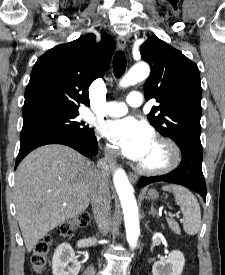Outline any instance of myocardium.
<instances>
[{"label": "myocardium", "instance_id": "f54148a6", "mask_svg": "<svg viewBox=\"0 0 225 275\" xmlns=\"http://www.w3.org/2000/svg\"><path fill=\"white\" fill-rule=\"evenodd\" d=\"M154 141L160 143L166 150V161L159 167H146L140 163L137 165V171L146 176H159L173 171L180 164L181 152L177 144L162 135L154 137Z\"/></svg>", "mask_w": 225, "mask_h": 275}]
</instances>
